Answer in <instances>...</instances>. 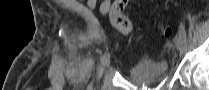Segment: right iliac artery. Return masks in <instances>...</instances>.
<instances>
[{
  "mask_svg": "<svg viewBox=\"0 0 209 90\" xmlns=\"http://www.w3.org/2000/svg\"><path fill=\"white\" fill-rule=\"evenodd\" d=\"M110 54L109 53H105L102 57H101V62H104L105 60H107L109 58ZM92 84H90L91 87ZM89 90H92V88H90Z\"/></svg>",
  "mask_w": 209,
  "mask_h": 90,
  "instance_id": "1",
  "label": "right iliac artery"
}]
</instances>
